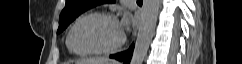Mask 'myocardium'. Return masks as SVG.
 Wrapping results in <instances>:
<instances>
[{
	"label": "myocardium",
	"mask_w": 242,
	"mask_h": 64,
	"mask_svg": "<svg viewBox=\"0 0 242 64\" xmlns=\"http://www.w3.org/2000/svg\"><path fill=\"white\" fill-rule=\"evenodd\" d=\"M90 17H102V18L112 20L118 24V20H117L116 16L111 13H108V12L94 11V12H89V13H86V14L80 16L73 23V25L70 28V31L68 33V36H67V45L73 53H75L79 56L107 55V54H111V53L117 51L119 48H121L123 46V44L125 43V35L123 32H121V37H120L119 41L117 43H115L114 45H112L111 47L104 48V49H97V50H88V51L77 50L72 43V36H73L74 30L81 21H83L87 18H90Z\"/></svg>",
	"instance_id": "obj_1"
}]
</instances>
